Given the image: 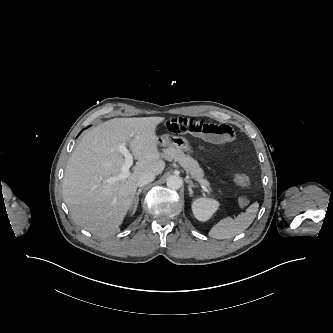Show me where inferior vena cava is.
Returning <instances> with one entry per match:
<instances>
[{
    "label": "inferior vena cava",
    "instance_id": "inferior-vena-cava-1",
    "mask_svg": "<svg viewBox=\"0 0 333 333\" xmlns=\"http://www.w3.org/2000/svg\"><path fill=\"white\" fill-rule=\"evenodd\" d=\"M155 175L153 173H145L143 176L138 181V186L143 187L146 186L147 184L151 183L154 181Z\"/></svg>",
    "mask_w": 333,
    "mask_h": 333
}]
</instances>
